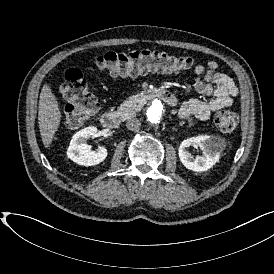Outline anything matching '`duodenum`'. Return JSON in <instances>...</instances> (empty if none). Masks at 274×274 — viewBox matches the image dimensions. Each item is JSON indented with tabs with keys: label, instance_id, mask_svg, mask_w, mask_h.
Wrapping results in <instances>:
<instances>
[{
	"label": "duodenum",
	"instance_id": "410a0bca",
	"mask_svg": "<svg viewBox=\"0 0 274 274\" xmlns=\"http://www.w3.org/2000/svg\"><path fill=\"white\" fill-rule=\"evenodd\" d=\"M154 99L163 100L172 107L178 105L176 96L161 88L147 89L136 96V100L141 103L149 102ZM101 123L106 129L115 130L120 127L121 117L116 112H105L101 117Z\"/></svg>",
	"mask_w": 274,
	"mask_h": 274
}]
</instances>
